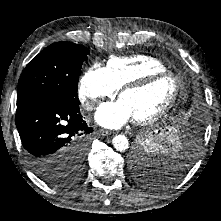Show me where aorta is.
<instances>
[{
	"label": "aorta",
	"mask_w": 221,
	"mask_h": 221,
	"mask_svg": "<svg viewBox=\"0 0 221 221\" xmlns=\"http://www.w3.org/2000/svg\"><path fill=\"white\" fill-rule=\"evenodd\" d=\"M112 144L119 152H123L129 147V141L124 135H116L112 140Z\"/></svg>",
	"instance_id": "762f6f07"
}]
</instances>
